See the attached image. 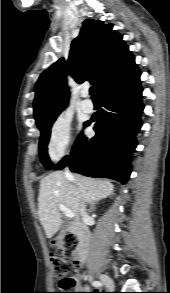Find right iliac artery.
Here are the masks:
<instances>
[{"mask_svg":"<svg viewBox=\"0 0 170 293\" xmlns=\"http://www.w3.org/2000/svg\"><path fill=\"white\" fill-rule=\"evenodd\" d=\"M92 285L95 286V287H101L102 283L100 281H93Z\"/></svg>","mask_w":170,"mask_h":293,"instance_id":"1","label":"right iliac artery"}]
</instances>
